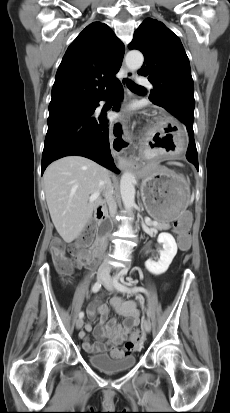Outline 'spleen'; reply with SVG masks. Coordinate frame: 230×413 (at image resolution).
<instances>
[{"mask_svg": "<svg viewBox=\"0 0 230 413\" xmlns=\"http://www.w3.org/2000/svg\"><path fill=\"white\" fill-rule=\"evenodd\" d=\"M170 164H175V165H179V166H181V164H180V163H176V162H173V163H170Z\"/></svg>", "mask_w": 230, "mask_h": 413, "instance_id": "obj_1", "label": "spleen"}]
</instances>
